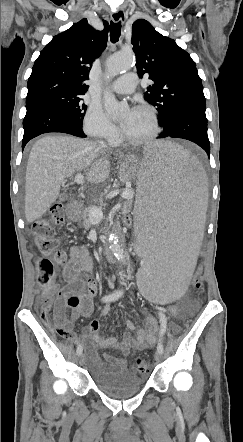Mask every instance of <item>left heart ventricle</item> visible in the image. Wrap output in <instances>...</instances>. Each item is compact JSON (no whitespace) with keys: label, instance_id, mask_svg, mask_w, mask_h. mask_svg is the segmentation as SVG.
I'll use <instances>...</instances> for the list:
<instances>
[{"label":"left heart ventricle","instance_id":"b2bd125f","mask_svg":"<svg viewBox=\"0 0 243 442\" xmlns=\"http://www.w3.org/2000/svg\"><path fill=\"white\" fill-rule=\"evenodd\" d=\"M123 133L131 139H141L149 136L154 129L150 113L142 110L127 112L121 119Z\"/></svg>","mask_w":243,"mask_h":442}]
</instances>
